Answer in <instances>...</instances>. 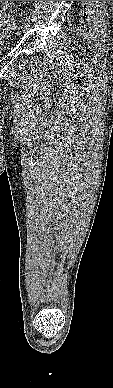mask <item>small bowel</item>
I'll return each mask as SVG.
<instances>
[{"label":"small bowel","mask_w":113,"mask_h":388,"mask_svg":"<svg viewBox=\"0 0 113 388\" xmlns=\"http://www.w3.org/2000/svg\"><path fill=\"white\" fill-rule=\"evenodd\" d=\"M2 2H4V5H2V7L0 6V21L2 20L3 22H9V18L5 12V9L7 8V1Z\"/></svg>","instance_id":"1"}]
</instances>
